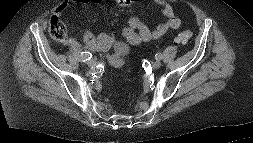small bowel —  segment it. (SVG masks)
<instances>
[{"mask_svg": "<svg viewBox=\"0 0 253 143\" xmlns=\"http://www.w3.org/2000/svg\"><path fill=\"white\" fill-rule=\"evenodd\" d=\"M138 0H115L120 6H129ZM162 7V15L165 21L157 25L154 29L147 27L139 18L130 17L126 26L122 30V35L129 46H139L143 42L158 39L170 30L177 29L181 26V19L175 15L172 5L167 0H153ZM102 0H65L57 8L55 14L60 16L63 11L73 7L76 4H92L100 3ZM83 42L86 47L94 52H102L109 50L113 45V39L106 34H94L90 30H84L82 34ZM68 44L75 46L76 41L69 39ZM126 52L122 51L113 57L123 61ZM113 64L119 65L118 62L112 61Z\"/></svg>", "mask_w": 253, "mask_h": 143, "instance_id": "small-bowel-1", "label": "small bowel"}]
</instances>
